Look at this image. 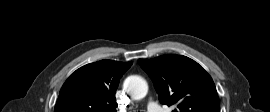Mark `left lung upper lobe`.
<instances>
[{
  "mask_svg": "<svg viewBox=\"0 0 270 112\" xmlns=\"http://www.w3.org/2000/svg\"><path fill=\"white\" fill-rule=\"evenodd\" d=\"M138 62L152 78L160 102L176 106L172 112H220L214 82L194 60L163 55Z\"/></svg>",
  "mask_w": 270,
  "mask_h": 112,
  "instance_id": "left-lung-upper-lobe-1",
  "label": "left lung upper lobe"
}]
</instances>
